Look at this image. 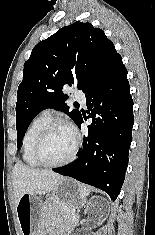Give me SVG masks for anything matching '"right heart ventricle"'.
I'll list each match as a JSON object with an SVG mask.
<instances>
[{"label": "right heart ventricle", "mask_w": 155, "mask_h": 235, "mask_svg": "<svg viewBox=\"0 0 155 235\" xmlns=\"http://www.w3.org/2000/svg\"><path fill=\"white\" fill-rule=\"evenodd\" d=\"M50 120V115L41 113L30 122L24 132L21 142V154L23 161L30 167L40 166L34 158L33 150L40 132Z\"/></svg>", "instance_id": "obj_1"}]
</instances>
